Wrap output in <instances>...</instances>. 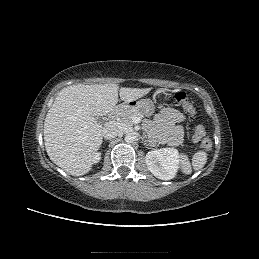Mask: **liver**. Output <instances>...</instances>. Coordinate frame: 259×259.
<instances>
[{"label": "liver", "instance_id": "1", "mask_svg": "<svg viewBox=\"0 0 259 259\" xmlns=\"http://www.w3.org/2000/svg\"><path fill=\"white\" fill-rule=\"evenodd\" d=\"M151 88H126L117 84H77L63 88L44 122V142L50 159L67 173L81 176L91 170L102 144L97 116L113 111L119 96L125 103L137 100Z\"/></svg>", "mask_w": 259, "mask_h": 259}]
</instances>
